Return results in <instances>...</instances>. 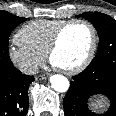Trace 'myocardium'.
<instances>
[{
	"instance_id": "f54148a6",
	"label": "myocardium",
	"mask_w": 116,
	"mask_h": 116,
	"mask_svg": "<svg viewBox=\"0 0 116 116\" xmlns=\"http://www.w3.org/2000/svg\"><path fill=\"white\" fill-rule=\"evenodd\" d=\"M74 24H83L89 28V30L91 32V46H90V49H89L86 57L84 58V60L81 63H79L78 65H76L75 67L68 68V69L57 67L62 73L67 74V75L77 74V73H80L81 71H83L84 69H86L90 65L92 60L94 59V56H95L96 50H97V46H98L97 30L91 22H89L88 20H85V19L67 20L61 26H59L58 29L55 31V33L51 39V42L48 46V49L46 51V54H45L46 58L51 64H52V61H51L52 55L57 50L64 31L69 26L74 25Z\"/></svg>"
}]
</instances>
